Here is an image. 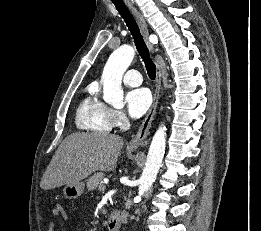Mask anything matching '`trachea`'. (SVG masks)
Returning <instances> with one entry per match:
<instances>
[{
	"instance_id": "3493384b",
	"label": "trachea",
	"mask_w": 261,
	"mask_h": 231,
	"mask_svg": "<svg viewBox=\"0 0 261 231\" xmlns=\"http://www.w3.org/2000/svg\"><path fill=\"white\" fill-rule=\"evenodd\" d=\"M112 2L114 3L121 17L126 22V25L128 26L134 38L136 48L144 61L149 78L154 80L156 77V66L150 58L148 48L143 40V37L140 33L139 27L135 19L133 18L132 14L130 13V11L125 6L122 0H112Z\"/></svg>"
}]
</instances>
